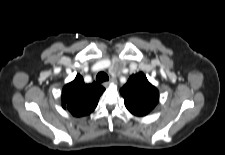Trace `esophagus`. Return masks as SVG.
Returning <instances> with one entry per match:
<instances>
[{"mask_svg":"<svg viewBox=\"0 0 225 155\" xmlns=\"http://www.w3.org/2000/svg\"><path fill=\"white\" fill-rule=\"evenodd\" d=\"M114 83H116V79L111 78L109 81L104 82L103 85H104L105 87H107V86H109L110 84H114Z\"/></svg>","mask_w":225,"mask_h":155,"instance_id":"esophagus-1","label":"esophagus"}]
</instances>
